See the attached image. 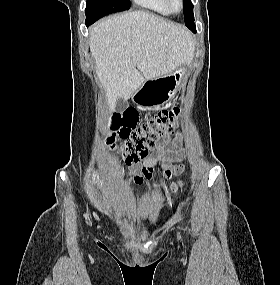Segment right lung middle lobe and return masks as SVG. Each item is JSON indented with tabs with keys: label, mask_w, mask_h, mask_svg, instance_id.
<instances>
[{
	"label": "right lung middle lobe",
	"mask_w": 280,
	"mask_h": 285,
	"mask_svg": "<svg viewBox=\"0 0 280 285\" xmlns=\"http://www.w3.org/2000/svg\"><path fill=\"white\" fill-rule=\"evenodd\" d=\"M129 6L130 0H87L86 22L92 24L107 14L127 10Z\"/></svg>",
	"instance_id": "1"
}]
</instances>
